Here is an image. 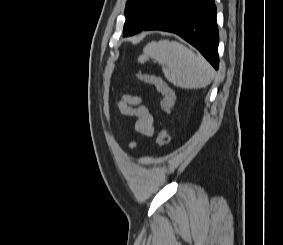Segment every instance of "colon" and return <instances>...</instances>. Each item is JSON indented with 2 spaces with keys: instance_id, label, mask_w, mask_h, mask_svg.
<instances>
[{
  "instance_id": "colon-1",
  "label": "colon",
  "mask_w": 283,
  "mask_h": 245,
  "mask_svg": "<svg viewBox=\"0 0 283 245\" xmlns=\"http://www.w3.org/2000/svg\"><path fill=\"white\" fill-rule=\"evenodd\" d=\"M137 79L141 82L152 85L162 95L160 102V110L164 114H169L175 102L174 91L164 82V80L152 73L137 71L135 73ZM170 142V134L167 128L163 127L159 130L157 136V143L161 148L166 147Z\"/></svg>"
}]
</instances>
